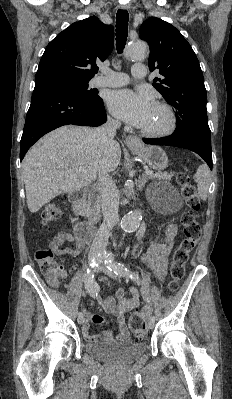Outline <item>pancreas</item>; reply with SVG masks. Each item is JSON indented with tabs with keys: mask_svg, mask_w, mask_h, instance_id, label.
Listing matches in <instances>:
<instances>
[{
	"mask_svg": "<svg viewBox=\"0 0 232 399\" xmlns=\"http://www.w3.org/2000/svg\"><path fill=\"white\" fill-rule=\"evenodd\" d=\"M152 180H171L173 174L168 172H155V174H149ZM101 200L99 194H89L88 200L85 201V205L81 211L82 215H86L89 221H99Z\"/></svg>",
	"mask_w": 232,
	"mask_h": 399,
	"instance_id": "pancreas-1",
	"label": "pancreas"
}]
</instances>
